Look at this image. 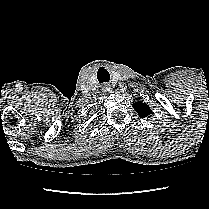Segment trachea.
<instances>
[{
  "label": "trachea",
  "mask_w": 209,
  "mask_h": 209,
  "mask_svg": "<svg viewBox=\"0 0 209 209\" xmlns=\"http://www.w3.org/2000/svg\"><path fill=\"white\" fill-rule=\"evenodd\" d=\"M102 82H108V80H107V81H101V83H102Z\"/></svg>",
  "instance_id": "3493384b"
}]
</instances>
